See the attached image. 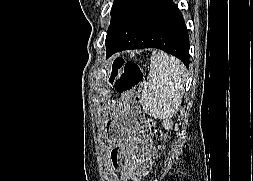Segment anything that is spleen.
Returning <instances> with one entry per match:
<instances>
[{"label": "spleen", "mask_w": 253, "mask_h": 181, "mask_svg": "<svg viewBox=\"0 0 253 181\" xmlns=\"http://www.w3.org/2000/svg\"><path fill=\"white\" fill-rule=\"evenodd\" d=\"M185 81L186 68L178 59L162 51H154L141 95L143 110L154 118L173 117L181 104Z\"/></svg>", "instance_id": "1"}]
</instances>
